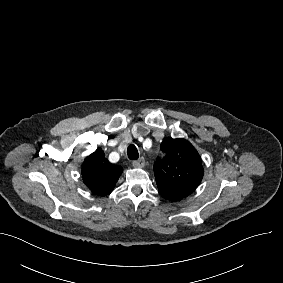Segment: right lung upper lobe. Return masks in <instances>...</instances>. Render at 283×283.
Masks as SVG:
<instances>
[{
	"instance_id": "cb5924a9",
	"label": "right lung upper lobe",
	"mask_w": 283,
	"mask_h": 283,
	"mask_svg": "<svg viewBox=\"0 0 283 283\" xmlns=\"http://www.w3.org/2000/svg\"><path fill=\"white\" fill-rule=\"evenodd\" d=\"M121 173L122 167L111 164L101 148L89 155L82 165L84 183L98 196L110 194Z\"/></svg>"
}]
</instances>
